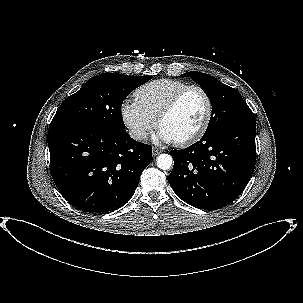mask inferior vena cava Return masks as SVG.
I'll list each match as a JSON object with an SVG mask.
<instances>
[{
  "mask_svg": "<svg viewBox=\"0 0 303 303\" xmlns=\"http://www.w3.org/2000/svg\"><path fill=\"white\" fill-rule=\"evenodd\" d=\"M130 136L137 140H146L147 139V133L144 130H139V129H132L129 131Z\"/></svg>",
  "mask_w": 303,
  "mask_h": 303,
  "instance_id": "obj_1",
  "label": "inferior vena cava"
}]
</instances>
